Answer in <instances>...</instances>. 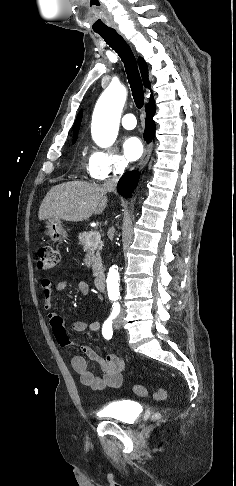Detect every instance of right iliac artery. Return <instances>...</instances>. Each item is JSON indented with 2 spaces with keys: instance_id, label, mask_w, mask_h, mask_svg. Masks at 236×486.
Segmentation results:
<instances>
[{
  "instance_id": "82829eb1",
  "label": "right iliac artery",
  "mask_w": 236,
  "mask_h": 486,
  "mask_svg": "<svg viewBox=\"0 0 236 486\" xmlns=\"http://www.w3.org/2000/svg\"><path fill=\"white\" fill-rule=\"evenodd\" d=\"M120 307L118 304L114 303L112 307V312L109 318L104 322L103 327H102V334L104 338L106 339H111L113 335V329H112V320L116 318V316L119 314Z\"/></svg>"
}]
</instances>
